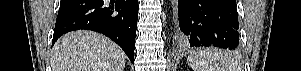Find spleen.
Masks as SVG:
<instances>
[{
	"label": "spleen",
	"mask_w": 301,
	"mask_h": 71,
	"mask_svg": "<svg viewBox=\"0 0 301 71\" xmlns=\"http://www.w3.org/2000/svg\"><path fill=\"white\" fill-rule=\"evenodd\" d=\"M193 71H238L237 60L227 52L217 50H200L187 58Z\"/></svg>",
	"instance_id": "1"
}]
</instances>
